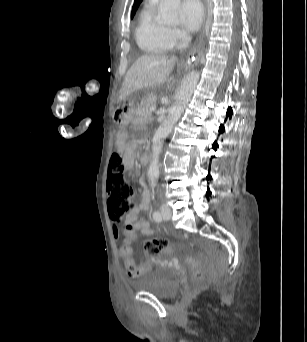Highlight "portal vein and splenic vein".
Instances as JSON below:
<instances>
[{"label":"portal vein and splenic vein","mask_w":307,"mask_h":342,"mask_svg":"<svg viewBox=\"0 0 307 342\" xmlns=\"http://www.w3.org/2000/svg\"><path fill=\"white\" fill-rule=\"evenodd\" d=\"M157 109L154 107V108H150L149 112H155Z\"/></svg>","instance_id":"1"}]
</instances>
